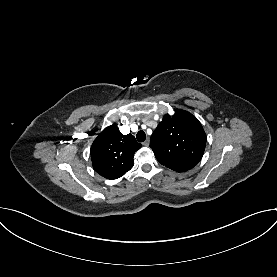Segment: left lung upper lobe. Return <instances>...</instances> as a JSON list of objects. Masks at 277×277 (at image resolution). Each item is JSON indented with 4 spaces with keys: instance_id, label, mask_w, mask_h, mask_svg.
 Returning <instances> with one entry per match:
<instances>
[{
    "instance_id": "obj_1",
    "label": "left lung upper lobe",
    "mask_w": 277,
    "mask_h": 277,
    "mask_svg": "<svg viewBox=\"0 0 277 277\" xmlns=\"http://www.w3.org/2000/svg\"><path fill=\"white\" fill-rule=\"evenodd\" d=\"M206 134L201 123L191 113L175 109L166 114L151 135L150 147L156 159L166 167L184 172L201 160Z\"/></svg>"
}]
</instances>
